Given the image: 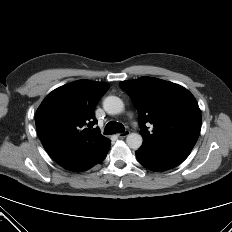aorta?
Wrapping results in <instances>:
<instances>
[{"label": "aorta", "mask_w": 232, "mask_h": 232, "mask_svg": "<svg viewBox=\"0 0 232 232\" xmlns=\"http://www.w3.org/2000/svg\"><path fill=\"white\" fill-rule=\"evenodd\" d=\"M103 108L108 114L116 115L124 110V103L119 97L108 96L103 101ZM126 142L131 149L137 150L141 147L143 139L140 134L131 133L127 136Z\"/></svg>", "instance_id": "762f6f07"}]
</instances>
